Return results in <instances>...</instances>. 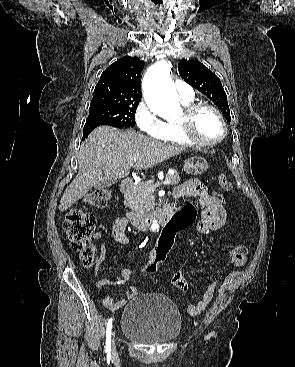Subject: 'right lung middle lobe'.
Wrapping results in <instances>:
<instances>
[{
  "mask_svg": "<svg viewBox=\"0 0 295 367\" xmlns=\"http://www.w3.org/2000/svg\"><path fill=\"white\" fill-rule=\"evenodd\" d=\"M139 102L140 100L108 95H93L83 137L101 125L117 128L134 126L135 112Z\"/></svg>",
  "mask_w": 295,
  "mask_h": 367,
  "instance_id": "dd1d6c3e",
  "label": "right lung middle lobe"
}]
</instances>
